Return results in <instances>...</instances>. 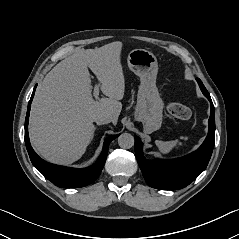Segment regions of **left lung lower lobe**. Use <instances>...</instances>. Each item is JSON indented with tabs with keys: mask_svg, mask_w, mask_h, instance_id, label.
Instances as JSON below:
<instances>
[{
	"mask_svg": "<svg viewBox=\"0 0 239 239\" xmlns=\"http://www.w3.org/2000/svg\"><path fill=\"white\" fill-rule=\"evenodd\" d=\"M197 82L201 91L211 103L208 135L197 151L172 160H147L143 156V144L140 138L135 136V154L138 164L144 179L153 188L165 190L182 189L205 170L210 160L215 138V109L205 86L198 78Z\"/></svg>",
	"mask_w": 239,
	"mask_h": 239,
	"instance_id": "0a47b994",
	"label": "left lung lower lobe"
}]
</instances>
